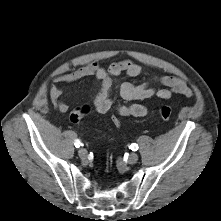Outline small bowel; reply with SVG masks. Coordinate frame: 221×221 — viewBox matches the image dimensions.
<instances>
[{"label": "small bowel", "mask_w": 221, "mask_h": 221, "mask_svg": "<svg viewBox=\"0 0 221 221\" xmlns=\"http://www.w3.org/2000/svg\"><path fill=\"white\" fill-rule=\"evenodd\" d=\"M125 73L129 78H134L142 73V67L130 59H123L112 63L109 67L102 66L98 61L91 62L73 72L59 75L55 80L63 83H74L83 78L95 77L98 81V89L93 99V104L98 113L105 114L112 109L116 114L128 117H144L149 113V109L140 103L114 106L110 97L114 79ZM162 88L155 89L151 86V81L134 84L123 82L118 86L121 97L127 101H143L152 97L160 100H169L174 94L191 96L192 91L185 81L176 77H163L156 80ZM63 89L51 85L49 96L56 110L66 113L69 106L61 100Z\"/></svg>", "instance_id": "1"}]
</instances>
